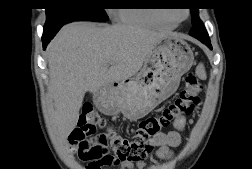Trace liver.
Returning a JSON list of instances; mask_svg holds the SVG:
<instances>
[{"mask_svg": "<svg viewBox=\"0 0 252 169\" xmlns=\"http://www.w3.org/2000/svg\"><path fill=\"white\" fill-rule=\"evenodd\" d=\"M170 35L176 34L120 24L65 25L46 50L56 136L66 140L76 127L87 91L97 93L136 75L157 43Z\"/></svg>", "mask_w": 252, "mask_h": 169, "instance_id": "liver-1", "label": "liver"}]
</instances>
